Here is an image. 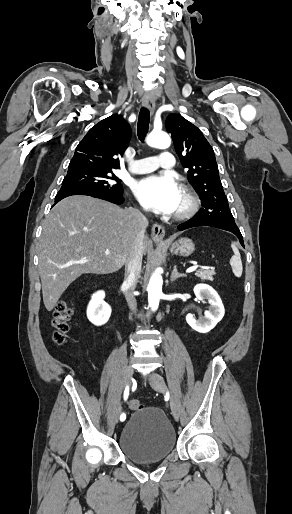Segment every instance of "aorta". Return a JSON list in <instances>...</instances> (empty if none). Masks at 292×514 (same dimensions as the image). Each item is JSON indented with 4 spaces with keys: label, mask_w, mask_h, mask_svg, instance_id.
I'll use <instances>...</instances> for the list:
<instances>
[{
    "label": "aorta",
    "mask_w": 292,
    "mask_h": 514,
    "mask_svg": "<svg viewBox=\"0 0 292 514\" xmlns=\"http://www.w3.org/2000/svg\"><path fill=\"white\" fill-rule=\"evenodd\" d=\"M146 142L148 146H152V148H160V150H166V148H169L171 144V140L166 132H155V130L147 136ZM162 284V276L158 274L157 270L156 274L151 276L148 284V302L151 310H157L159 306L160 298L162 296Z\"/></svg>",
    "instance_id": "762f6f07"
}]
</instances>
